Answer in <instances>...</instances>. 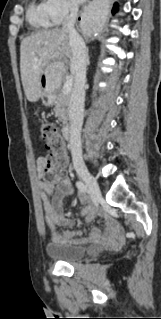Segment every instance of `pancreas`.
<instances>
[{
  "mask_svg": "<svg viewBox=\"0 0 161 319\" xmlns=\"http://www.w3.org/2000/svg\"><path fill=\"white\" fill-rule=\"evenodd\" d=\"M54 105H55L54 107L55 116L58 118L60 122H62L63 124H67L68 113H69L68 111L69 98L67 95L63 93V91L58 92L54 96Z\"/></svg>",
  "mask_w": 161,
  "mask_h": 319,
  "instance_id": "cf45deb5",
  "label": "pancreas"
}]
</instances>
